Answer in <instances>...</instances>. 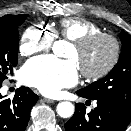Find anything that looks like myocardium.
<instances>
[{"label":"myocardium","instance_id":"obj_1","mask_svg":"<svg viewBox=\"0 0 131 131\" xmlns=\"http://www.w3.org/2000/svg\"><path fill=\"white\" fill-rule=\"evenodd\" d=\"M105 39L110 42L112 45V55L108 63L99 71L96 72H87L80 69L81 74L90 80H99L105 76H107L116 66L119 61L120 53H121V44L116 36L107 32H95L87 34L75 41H73V46H75L78 50H83L92 43L97 40Z\"/></svg>","mask_w":131,"mask_h":131}]
</instances>
